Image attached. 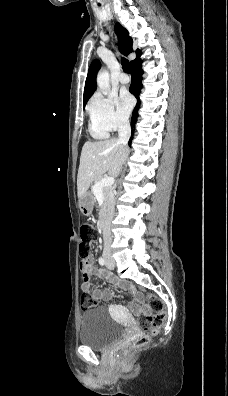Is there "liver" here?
<instances>
[{
  "label": "liver",
  "mask_w": 228,
  "mask_h": 396,
  "mask_svg": "<svg viewBox=\"0 0 228 396\" xmlns=\"http://www.w3.org/2000/svg\"><path fill=\"white\" fill-rule=\"evenodd\" d=\"M126 156V148L117 138L86 142L82 148L77 176L78 198L104 173L108 172L111 177H117Z\"/></svg>",
  "instance_id": "6515ba94"
}]
</instances>
